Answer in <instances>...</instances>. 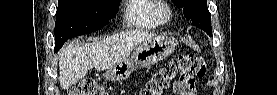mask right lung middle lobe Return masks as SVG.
<instances>
[{
    "label": "right lung middle lobe",
    "mask_w": 277,
    "mask_h": 95,
    "mask_svg": "<svg viewBox=\"0 0 277 95\" xmlns=\"http://www.w3.org/2000/svg\"><path fill=\"white\" fill-rule=\"evenodd\" d=\"M120 0H58L55 51L69 38L96 31L116 16Z\"/></svg>",
    "instance_id": "right-lung-middle-lobe-1"
}]
</instances>
